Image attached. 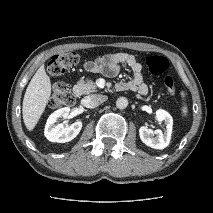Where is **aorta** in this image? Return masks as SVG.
<instances>
[{"instance_id":"762f6f07","label":"aorta","mask_w":213,"mask_h":213,"mask_svg":"<svg viewBox=\"0 0 213 213\" xmlns=\"http://www.w3.org/2000/svg\"><path fill=\"white\" fill-rule=\"evenodd\" d=\"M128 106V100L125 97H119L116 101V107L118 109H125Z\"/></svg>"}]
</instances>
